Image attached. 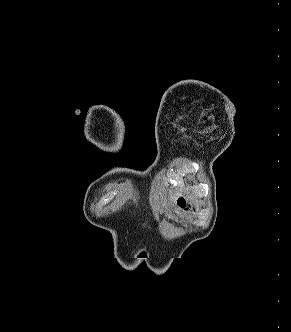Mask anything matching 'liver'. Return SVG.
<instances>
[{
  "instance_id": "obj_1",
  "label": "liver",
  "mask_w": 291,
  "mask_h": 332,
  "mask_svg": "<svg viewBox=\"0 0 291 332\" xmlns=\"http://www.w3.org/2000/svg\"><path fill=\"white\" fill-rule=\"evenodd\" d=\"M179 195H180V193L178 192V193L174 194L173 196H171V198H170L171 202L175 203V201Z\"/></svg>"
}]
</instances>
